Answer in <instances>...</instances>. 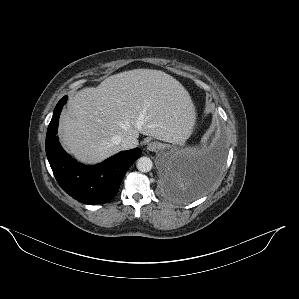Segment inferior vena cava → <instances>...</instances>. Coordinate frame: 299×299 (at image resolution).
<instances>
[{
    "instance_id": "inferior-vena-cava-1",
    "label": "inferior vena cava",
    "mask_w": 299,
    "mask_h": 299,
    "mask_svg": "<svg viewBox=\"0 0 299 299\" xmlns=\"http://www.w3.org/2000/svg\"><path fill=\"white\" fill-rule=\"evenodd\" d=\"M119 144L121 149L129 150L135 148L138 145V140L135 137L127 136L123 139H120Z\"/></svg>"
}]
</instances>
